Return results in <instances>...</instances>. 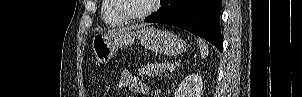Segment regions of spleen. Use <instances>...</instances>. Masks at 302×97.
I'll return each mask as SVG.
<instances>
[{"label": "spleen", "instance_id": "spleen-1", "mask_svg": "<svg viewBox=\"0 0 302 97\" xmlns=\"http://www.w3.org/2000/svg\"><path fill=\"white\" fill-rule=\"evenodd\" d=\"M197 44H198L199 49H200L201 58L205 59L209 54L208 45L202 39H197Z\"/></svg>", "mask_w": 302, "mask_h": 97}]
</instances>
